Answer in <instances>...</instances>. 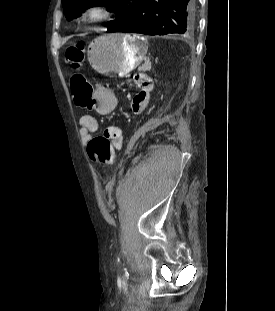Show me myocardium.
Masks as SVG:
<instances>
[{"label": "myocardium", "instance_id": "f54148a6", "mask_svg": "<svg viewBox=\"0 0 275 311\" xmlns=\"http://www.w3.org/2000/svg\"><path fill=\"white\" fill-rule=\"evenodd\" d=\"M114 12L107 4H94L80 12V19L89 24H102L113 19Z\"/></svg>", "mask_w": 275, "mask_h": 311}]
</instances>
